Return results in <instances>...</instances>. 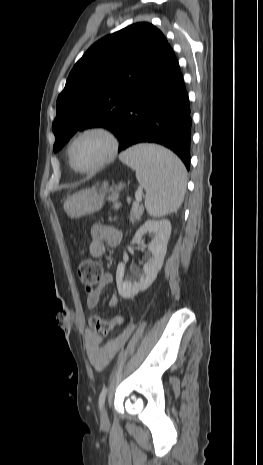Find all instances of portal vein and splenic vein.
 Returning a JSON list of instances; mask_svg holds the SVG:
<instances>
[{
	"label": "portal vein and splenic vein",
	"mask_w": 263,
	"mask_h": 465,
	"mask_svg": "<svg viewBox=\"0 0 263 465\" xmlns=\"http://www.w3.org/2000/svg\"><path fill=\"white\" fill-rule=\"evenodd\" d=\"M136 202L133 203V206L139 205V202L142 200V189H138L135 193Z\"/></svg>",
	"instance_id": "portal-vein-and-splenic-vein-1"
}]
</instances>
